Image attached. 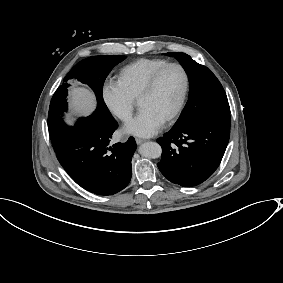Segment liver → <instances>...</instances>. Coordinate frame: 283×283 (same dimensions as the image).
Wrapping results in <instances>:
<instances>
[{"label":"liver","mask_w":283,"mask_h":283,"mask_svg":"<svg viewBox=\"0 0 283 283\" xmlns=\"http://www.w3.org/2000/svg\"><path fill=\"white\" fill-rule=\"evenodd\" d=\"M70 107L79 114L87 116L92 113L96 107V98L92 91L84 87H73L70 90ZM65 122L69 125H73L74 118L67 116Z\"/></svg>","instance_id":"liver-1"}]
</instances>
